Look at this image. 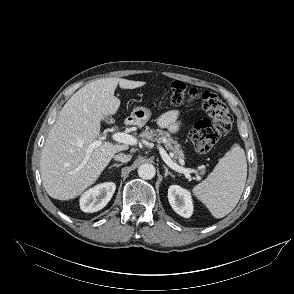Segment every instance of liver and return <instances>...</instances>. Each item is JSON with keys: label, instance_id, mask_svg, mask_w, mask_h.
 <instances>
[{"label": "liver", "instance_id": "obj_1", "mask_svg": "<svg viewBox=\"0 0 294 294\" xmlns=\"http://www.w3.org/2000/svg\"><path fill=\"white\" fill-rule=\"evenodd\" d=\"M118 84L122 89H135L146 82L95 80L74 93L61 109L40 159L43 186L50 197L70 200L81 195L96 182L115 153L128 149L126 144H112L100 137L101 120L120 107L114 96ZM97 139L101 144L91 147Z\"/></svg>", "mask_w": 294, "mask_h": 294}]
</instances>
